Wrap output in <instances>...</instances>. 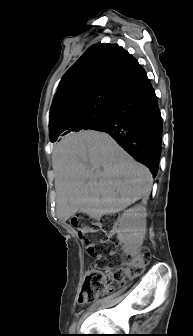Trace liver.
Instances as JSON below:
<instances>
[{"label":"liver","mask_w":193,"mask_h":336,"mask_svg":"<svg viewBox=\"0 0 193 336\" xmlns=\"http://www.w3.org/2000/svg\"><path fill=\"white\" fill-rule=\"evenodd\" d=\"M56 213L67 221L77 211L92 218L147 201L153 178L106 133L71 134L54 149Z\"/></svg>","instance_id":"obj_1"}]
</instances>
